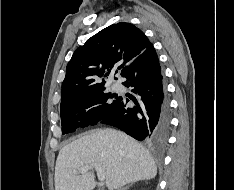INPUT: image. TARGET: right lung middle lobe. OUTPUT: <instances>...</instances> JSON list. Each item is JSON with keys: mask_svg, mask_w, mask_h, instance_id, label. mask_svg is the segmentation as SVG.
<instances>
[{"mask_svg": "<svg viewBox=\"0 0 234 190\" xmlns=\"http://www.w3.org/2000/svg\"><path fill=\"white\" fill-rule=\"evenodd\" d=\"M103 91L104 88L86 92L61 103L62 134L73 132L79 127L95 125L112 113L118 103V96Z\"/></svg>", "mask_w": 234, "mask_h": 190, "instance_id": "1", "label": "right lung middle lobe"}]
</instances>
